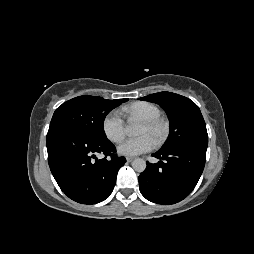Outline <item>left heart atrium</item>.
Returning a JSON list of instances; mask_svg holds the SVG:
<instances>
[{"label": "left heart atrium", "mask_w": 254, "mask_h": 254, "mask_svg": "<svg viewBox=\"0 0 254 254\" xmlns=\"http://www.w3.org/2000/svg\"><path fill=\"white\" fill-rule=\"evenodd\" d=\"M155 145V141L149 135L128 138L118 147V152L125 156H136L150 151Z\"/></svg>", "instance_id": "1"}]
</instances>
